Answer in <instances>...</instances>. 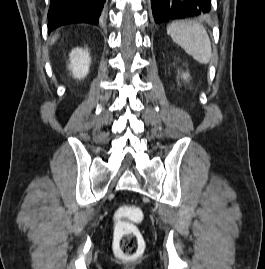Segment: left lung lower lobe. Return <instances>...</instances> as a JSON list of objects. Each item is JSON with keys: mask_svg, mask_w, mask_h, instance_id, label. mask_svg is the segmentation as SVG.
<instances>
[{"mask_svg": "<svg viewBox=\"0 0 265 269\" xmlns=\"http://www.w3.org/2000/svg\"><path fill=\"white\" fill-rule=\"evenodd\" d=\"M157 24L189 18H206L211 13V0H151Z\"/></svg>", "mask_w": 265, "mask_h": 269, "instance_id": "0a47b994", "label": "left lung lower lobe"}]
</instances>
